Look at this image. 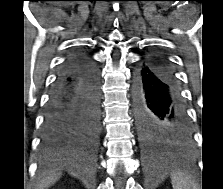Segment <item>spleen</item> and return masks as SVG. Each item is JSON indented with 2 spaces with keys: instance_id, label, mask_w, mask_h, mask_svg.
Returning a JSON list of instances; mask_svg holds the SVG:
<instances>
[{
  "instance_id": "1",
  "label": "spleen",
  "mask_w": 223,
  "mask_h": 189,
  "mask_svg": "<svg viewBox=\"0 0 223 189\" xmlns=\"http://www.w3.org/2000/svg\"><path fill=\"white\" fill-rule=\"evenodd\" d=\"M172 185L174 189H192L190 177L182 174H176L172 177Z\"/></svg>"
}]
</instances>
